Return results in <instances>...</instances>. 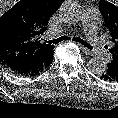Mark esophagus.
<instances>
[{
	"label": "esophagus",
	"mask_w": 118,
	"mask_h": 118,
	"mask_svg": "<svg viewBox=\"0 0 118 118\" xmlns=\"http://www.w3.org/2000/svg\"><path fill=\"white\" fill-rule=\"evenodd\" d=\"M80 46V49L82 50L83 53H85L86 55H89V56H93V52L88 49L87 47L85 46H82L80 44H78Z\"/></svg>",
	"instance_id": "34e87169"
}]
</instances>
